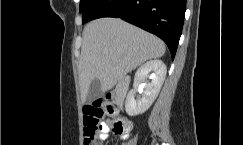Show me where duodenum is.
<instances>
[{"label":"duodenum","instance_id":"1","mask_svg":"<svg viewBox=\"0 0 243 145\" xmlns=\"http://www.w3.org/2000/svg\"><path fill=\"white\" fill-rule=\"evenodd\" d=\"M127 86H128L127 78L122 79L120 81V83L118 84V86L116 88V96H117L118 101H121L123 99V97L125 96V93L127 91Z\"/></svg>","mask_w":243,"mask_h":145}]
</instances>
